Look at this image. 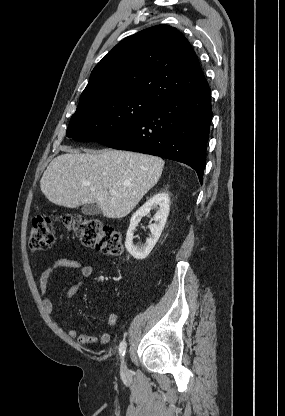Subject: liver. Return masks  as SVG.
Wrapping results in <instances>:
<instances>
[{"mask_svg": "<svg viewBox=\"0 0 285 416\" xmlns=\"http://www.w3.org/2000/svg\"><path fill=\"white\" fill-rule=\"evenodd\" d=\"M50 162L41 180L45 198L64 208L97 204L105 218L128 216L156 186L164 162L156 156L121 150H70ZM116 190L117 196H110Z\"/></svg>", "mask_w": 285, "mask_h": 416, "instance_id": "obj_1", "label": "liver"}]
</instances>
